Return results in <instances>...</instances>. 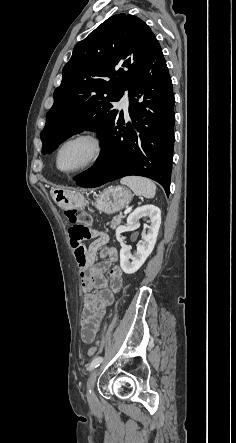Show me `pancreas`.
Wrapping results in <instances>:
<instances>
[{
  "instance_id": "1",
  "label": "pancreas",
  "mask_w": 236,
  "mask_h": 443,
  "mask_svg": "<svg viewBox=\"0 0 236 443\" xmlns=\"http://www.w3.org/2000/svg\"><path fill=\"white\" fill-rule=\"evenodd\" d=\"M123 218H124V216H122V215L115 216L111 220V222L107 223V225H109L110 228L115 229L117 226H119L121 224Z\"/></svg>"
}]
</instances>
